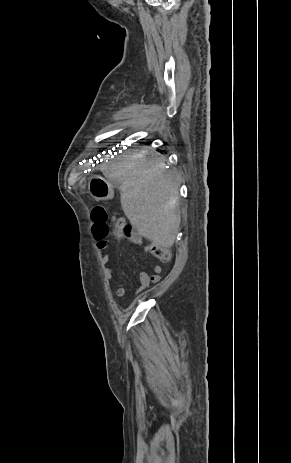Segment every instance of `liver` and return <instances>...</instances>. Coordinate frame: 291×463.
<instances>
[{"instance_id":"liver-1","label":"liver","mask_w":291,"mask_h":463,"mask_svg":"<svg viewBox=\"0 0 291 463\" xmlns=\"http://www.w3.org/2000/svg\"><path fill=\"white\" fill-rule=\"evenodd\" d=\"M102 171L109 182L121 184V206L133 228L160 247L173 246L181 221L179 192L164 159L146 152L123 154Z\"/></svg>"}]
</instances>
